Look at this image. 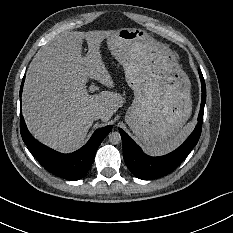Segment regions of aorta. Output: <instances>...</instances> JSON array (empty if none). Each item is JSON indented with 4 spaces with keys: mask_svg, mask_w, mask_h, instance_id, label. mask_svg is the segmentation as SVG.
I'll use <instances>...</instances> for the list:
<instances>
[{
    "mask_svg": "<svg viewBox=\"0 0 233 233\" xmlns=\"http://www.w3.org/2000/svg\"><path fill=\"white\" fill-rule=\"evenodd\" d=\"M121 134L117 131L109 133V141L111 144H119L121 142Z\"/></svg>",
    "mask_w": 233,
    "mask_h": 233,
    "instance_id": "obj_1",
    "label": "aorta"
}]
</instances>
